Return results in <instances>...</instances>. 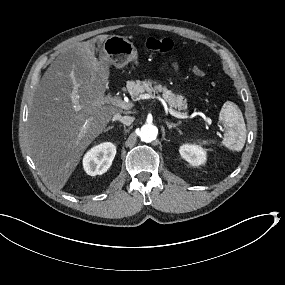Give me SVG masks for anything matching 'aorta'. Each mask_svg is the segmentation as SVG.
I'll return each instance as SVG.
<instances>
[{
	"mask_svg": "<svg viewBox=\"0 0 285 285\" xmlns=\"http://www.w3.org/2000/svg\"><path fill=\"white\" fill-rule=\"evenodd\" d=\"M139 137L141 141L151 143L157 137V128L152 124H144L140 129Z\"/></svg>",
	"mask_w": 285,
	"mask_h": 285,
	"instance_id": "obj_1",
	"label": "aorta"
}]
</instances>
